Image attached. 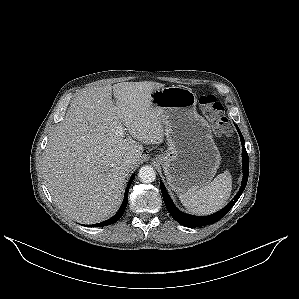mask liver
I'll use <instances>...</instances> for the list:
<instances>
[{
	"label": "liver",
	"instance_id": "1",
	"mask_svg": "<svg viewBox=\"0 0 299 299\" xmlns=\"http://www.w3.org/2000/svg\"><path fill=\"white\" fill-rule=\"evenodd\" d=\"M157 82H122L79 93L55 127L43 158V176L53 201L77 222L113 216L125 179L138 164L143 144H160L164 123L151 103ZM115 98V105L112 102ZM122 126L129 134L118 133ZM132 157L129 166L123 165Z\"/></svg>",
	"mask_w": 299,
	"mask_h": 299
}]
</instances>
